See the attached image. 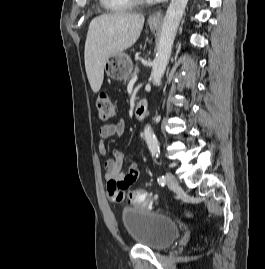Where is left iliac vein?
<instances>
[{
  "mask_svg": "<svg viewBox=\"0 0 265 269\" xmlns=\"http://www.w3.org/2000/svg\"><path fill=\"white\" fill-rule=\"evenodd\" d=\"M166 182H167V186L169 188H177L179 186L178 180L176 179V177L170 173L167 172L166 173Z\"/></svg>",
  "mask_w": 265,
  "mask_h": 269,
  "instance_id": "4c4485c4",
  "label": "left iliac vein"
}]
</instances>
